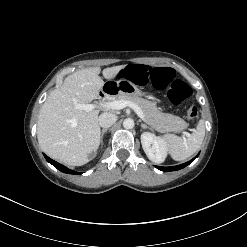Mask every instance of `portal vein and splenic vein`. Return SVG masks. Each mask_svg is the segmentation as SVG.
I'll use <instances>...</instances> for the list:
<instances>
[{"instance_id":"18ae733b","label":"portal vein and splenic vein","mask_w":247,"mask_h":247,"mask_svg":"<svg viewBox=\"0 0 247 247\" xmlns=\"http://www.w3.org/2000/svg\"><path fill=\"white\" fill-rule=\"evenodd\" d=\"M99 105L101 107L109 108V109H113V110H121V109H123L125 107H130L136 112V114L142 120L145 119L141 108L138 105H136L135 103L131 102V101L117 100V101H110V102L100 103ZM74 107L76 109H79V110H84L85 112H90V111H92L93 109L96 108V105L95 104H76Z\"/></svg>"}]
</instances>
